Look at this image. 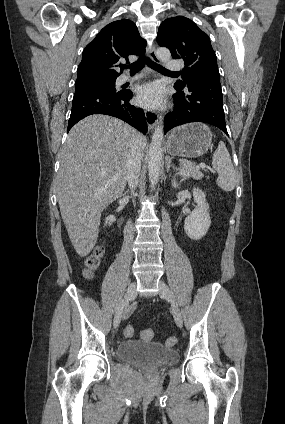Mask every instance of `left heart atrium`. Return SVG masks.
Here are the masks:
<instances>
[{
	"mask_svg": "<svg viewBox=\"0 0 285 424\" xmlns=\"http://www.w3.org/2000/svg\"><path fill=\"white\" fill-rule=\"evenodd\" d=\"M165 100V91L157 82L144 84L137 91V101L147 108H159Z\"/></svg>",
	"mask_w": 285,
	"mask_h": 424,
	"instance_id": "obj_1",
	"label": "left heart atrium"
}]
</instances>
